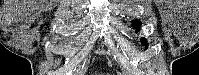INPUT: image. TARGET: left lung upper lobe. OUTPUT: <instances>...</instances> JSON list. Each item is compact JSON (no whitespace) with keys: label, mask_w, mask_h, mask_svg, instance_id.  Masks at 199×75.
<instances>
[{"label":"left lung upper lobe","mask_w":199,"mask_h":75,"mask_svg":"<svg viewBox=\"0 0 199 75\" xmlns=\"http://www.w3.org/2000/svg\"><path fill=\"white\" fill-rule=\"evenodd\" d=\"M132 25H133L134 28L137 29V28L140 27L141 22L138 21V20H134V21H132ZM141 42L145 45V48H147V40H146L145 38H142V39H141Z\"/></svg>","instance_id":"obj_1"}]
</instances>
